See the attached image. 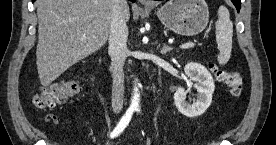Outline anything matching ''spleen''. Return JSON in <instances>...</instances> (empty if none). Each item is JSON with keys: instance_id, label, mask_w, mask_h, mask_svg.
<instances>
[{"instance_id": "spleen-1", "label": "spleen", "mask_w": 276, "mask_h": 145, "mask_svg": "<svg viewBox=\"0 0 276 145\" xmlns=\"http://www.w3.org/2000/svg\"><path fill=\"white\" fill-rule=\"evenodd\" d=\"M215 28L216 42L219 50L217 60L220 65H225L230 59L233 37V23L230 20V13L225 6H220L218 9V20Z\"/></svg>"}]
</instances>
